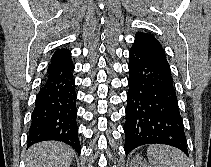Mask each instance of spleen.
I'll return each mask as SVG.
<instances>
[{
  "mask_svg": "<svg viewBox=\"0 0 211 167\" xmlns=\"http://www.w3.org/2000/svg\"><path fill=\"white\" fill-rule=\"evenodd\" d=\"M147 157L151 167H189L186 155L169 146L150 145Z\"/></svg>",
  "mask_w": 211,
  "mask_h": 167,
  "instance_id": "1",
  "label": "spleen"
}]
</instances>
